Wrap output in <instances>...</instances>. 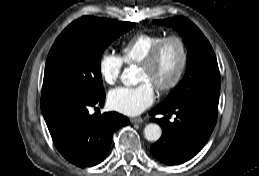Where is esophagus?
Wrapping results in <instances>:
<instances>
[{
  "label": "esophagus",
  "instance_id": "obj_1",
  "mask_svg": "<svg viewBox=\"0 0 259 176\" xmlns=\"http://www.w3.org/2000/svg\"><path fill=\"white\" fill-rule=\"evenodd\" d=\"M130 122L132 124H139V123H142L143 122V119L141 117H136V118H131L130 119Z\"/></svg>",
  "mask_w": 259,
  "mask_h": 176
}]
</instances>
